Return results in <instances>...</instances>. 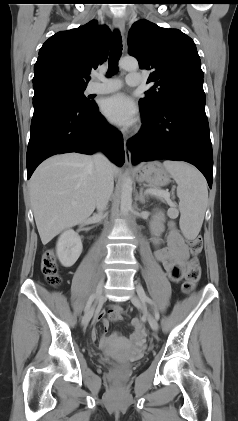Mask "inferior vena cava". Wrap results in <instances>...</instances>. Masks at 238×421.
<instances>
[{
  "label": "inferior vena cava",
  "mask_w": 238,
  "mask_h": 421,
  "mask_svg": "<svg viewBox=\"0 0 238 421\" xmlns=\"http://www.w3.org/2000/svg\"><path fill=\"white\" fill-rule=\"evenodd\" d=\"M93 162L97 174L96 207L98 213L102 214L113 192V173L109 160L102 153H96Z\"/></svg>",
  "instance_id": "obj_1"
}]
</instances>
